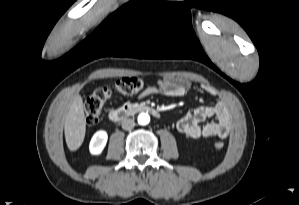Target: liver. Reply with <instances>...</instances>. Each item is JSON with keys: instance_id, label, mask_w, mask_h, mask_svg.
Returning <instances> with one entry per match:
<instances>
[{"instance_id": "liver-1", "label": "liver", "mask_w": 299, "mask_h": 205, "mask_svg": "<svg viewBox=\"0 0 299 205\" xmlns=\"http://www.w3.org/2000/svg\"><path fill=\"white\" fill-rule=\"evenodd\" d=\"M86 132V121L83 100L75 95L65 116L64 133L70 151L77 150L83 143Z\"/></svg>"}]
</instances>
